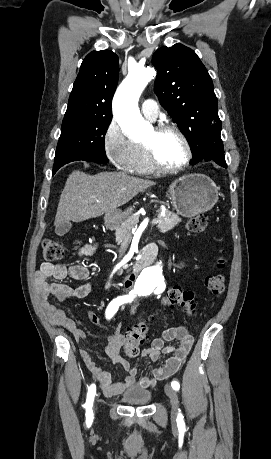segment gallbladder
Returning <instances> with one entry per match:
<instances>
[{"label": "gallbladder", "instance_id": "bac80fb5", "mask_svg": "<svg viewBox=\"0 0 271 459\" xmlns=\"http://www.w3.org/2000/svg\"><path fill=\"white\" fill-rule=\"evenodd\" d=\"M71 228V222H61V224H57L55 233H57V235H64V233H67V231H69Z\"/></svg>", "mask_w": 271, "mask_h": 459}]
</instances>
